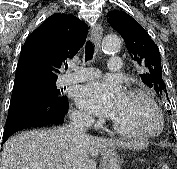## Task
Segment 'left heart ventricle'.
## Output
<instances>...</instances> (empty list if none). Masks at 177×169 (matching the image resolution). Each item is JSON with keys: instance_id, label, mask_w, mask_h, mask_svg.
<instances>
[{"instance_id": "1", "label": "left heart ventricle", "mask_w": 177, "mask_h": 169, "mask_svg": "<svg viewBox=\"0 0 177 169\" xmlns=\"http://www.w3.org/2000/svg\"><path fill=\"white\" fill-rule=\"evenodd\" d=\"M112 119L131 132H150L158 126L155 112L140 97L124 95Z\"/></svg>"}]
</instances>
